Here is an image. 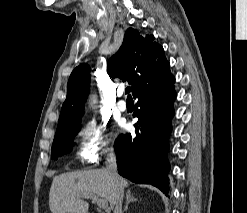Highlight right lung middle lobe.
<instances>
[{
	"label": "right lung middle lobe",
	"mask_w": 247,
	"mask_h": 213,
	"mask_svg": "<svg viewBox=\"0 0 247 213\" xmlns=\"http://www.w3.org/2000/svg\"><path fill=\"white\" fill-rule=\"evenodd\" d=\"M79 131V126H71L60 129L56 132L52 144V157L64 155L72 150L74 135Z\"/></svg>",
	"instance_id": "1"
}]
</instances>
